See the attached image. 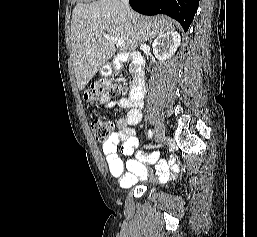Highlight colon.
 <instances>
[{
    "label": "colon",
    "instance_id": "colon-1",
    "mask_svg": "<svg viewBox=\"0 0 257 237\" xmlns=\"http://www.w3.org/2000/svg\"><path fill=\"white\" fill-rule=\"evenodd\" d=\"M121 91L122 86L116 80L103 77L92 84L85 94V100L90 105H99ZM91 128L100 142H107L112 136V122L103 116H96L91 122Z\"/></svg>",
    "mask_w": 257,
    "mask_h": 237
}]
</instances>
